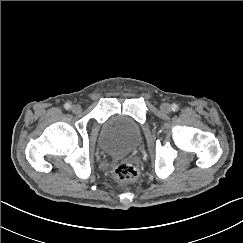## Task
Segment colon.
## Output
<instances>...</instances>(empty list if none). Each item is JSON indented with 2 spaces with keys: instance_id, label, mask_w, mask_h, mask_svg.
<instances>
[{
  "instance_id": "obj_1",
  "label": "colon",
  "mask_w": 243,
  "mask_h": 243,
  "mask_svg": "<svg viewBox=\"0 0 243 243\" xmlns=\"http://www.w3.org/2000/svg\"><path fill=\"white\" fill-rule=\"evenodd\" d=\"M112 173L114 178L121 182H134L139 176L136 167L128 163L117 165L114 167Z\"/></svg>"
}]
</instances>
